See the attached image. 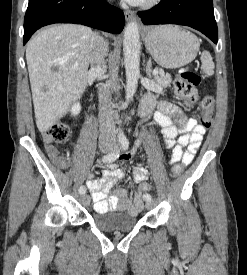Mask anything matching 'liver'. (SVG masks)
I'll return each instance as SVG.
<instances>
[{
	"label": "liver",
	"instance_id": "1",
	"mask_svg": "<svg viewBox=\"0 0 247 275\" xmlns=\"http://www.w3.org/2000/svg\"><path fill=\"white\" fill-rule=\"evenodd\" d=\"M92 30L83 25H52L27 44L26 61L36 125L49 130L81 98L87 84Z\"/></svg>",
	"mask_w": 247,
	"mask_h": 275
}]
</instances>
